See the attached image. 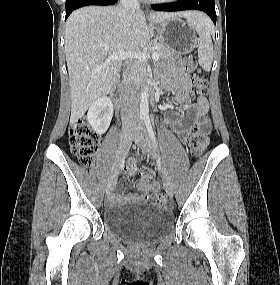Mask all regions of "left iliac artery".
I'll list each match as a JSON object with an SVG mask.
<instances>
[{
  "instance_id": "1",
  "label": "left iliac artery",
  "mask_w": 280,
  "mask_h": 285,
  "mask_svg": "<svg viewBox=\"0 0 280 285\" xmlns=\"http://www.w3.org/2000/svg\"><path fill=\"white\" fill-rule=\"evenodd\" d=\"M144 121H145L147 130H148V132H149V135H150V137H151V140L153 141L155 147L158 148V144H157V141H156V137H155V134H154L153 129H152V126H151L150 118L147 116V117L144 118Z\"/></svg>"
}]
</instances>
